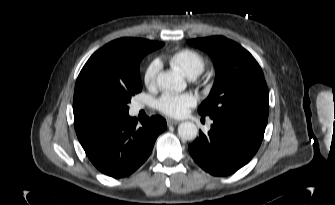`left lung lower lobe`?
Returning a JSON list of instances; mask_svg holds the SVG:
<instances>
[{"label": "left lung lower lobe", "mask_w": 335, "mask_h": 205, "mask_svg": "<svg viewBox=\"0 0 335 205\" xmlns=\"http://www.w3.org/2000/svg\"><path fill=\"white\" fill-rule=\"evenodd\" d=\"M208 134L189 145L194 161L214 176H226L247 164L259 149L265 126L248 120L217 115Z\"/></svg>", "instance_id": "left-lung-lower-lobe-1"}]
</instances>
